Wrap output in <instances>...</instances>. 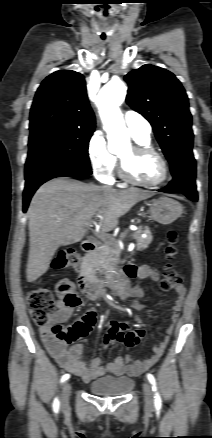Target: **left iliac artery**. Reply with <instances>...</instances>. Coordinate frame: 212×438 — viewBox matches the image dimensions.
<instances>
[{"label": "left iliac artery", "instance_id": "1", "mask_svg": "<svg viewBox=\"0 0 212 438\" xmlns=\"http://www.w3.org/2000/svg\"><path fill=\"white\" fill-rule=\"evenodd\" d=\"M147 378H148L149 382L152 384V389L155 392V396H154V398H155V400H154L155 406L161 407L162 400H161V397H160V395H159V393L157 391L156 380H155L154 376L152 374H150V373L147 374Z\"/></svg>", "mask_w": 212, "mask_h": 438}]
</instances>
